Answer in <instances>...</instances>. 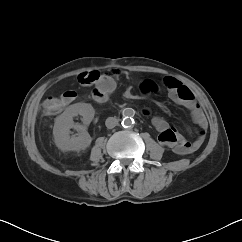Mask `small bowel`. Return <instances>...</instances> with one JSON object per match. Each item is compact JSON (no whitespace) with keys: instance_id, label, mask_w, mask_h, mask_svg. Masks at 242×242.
I'll use <instances>...</instances> for the list:
<instances>
[{"instance_id":"obj_1","label":"small bowel","mask_w":242,"mask_h":242,"mask_svg":"<svg viewBox=\"0 0 242 242\" xmlns=\"http://www.w3.org/2000/svg\"><path fill=\"white\" fill-rule=\"evenodd\" d=\"M91 73L86 74L90 75ZM119 74L120 71L117 69H112L106 74H99V78L91 83L94 84V97L95 94L101 90L105 91L107 94L113 92L116 88L115 79ZM144 84L152 83L145 82L142 86ZM163 86L167 89L168 96L173 102L184 106L189 110L191 118L197 126V137L193 141H189L183 137L176 128L171 127L164 118L153 116L152 124L158 131V140L163 145L174 147L178 154L185 155L192 153L200 148L206 135L207 122L201 106L196 101L193 92L176 78L165 77L163 80ZM181 88L185 89L186 94L181 92ZM66 94L69 96V102L67 103L69 104L70 101L73 100L74 94L71 91L66 92Z\"/></svg>"}]
</instances>
